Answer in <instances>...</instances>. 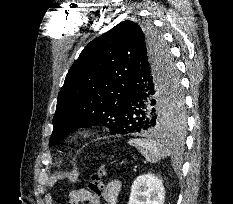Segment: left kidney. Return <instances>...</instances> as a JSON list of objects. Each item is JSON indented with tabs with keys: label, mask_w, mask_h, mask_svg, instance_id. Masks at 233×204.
I'll list each match as a JSON object with an SVG mask.
<instances>
[{
	"label": "left kidney",
	"mask_w": 233,
	"mask_h": 204,
	"mask_svg": "<svg viewBox=\"0 0 233 204\" xmlns=\"http://www.w3.org/2000/svg\"><path fill=\"white\" fill-rule=\"evenodd\" d=\"M164 200L165 188L162 179L149 173L134 180L128 204H163Z\"/></svg>",
	"instance_id": "obj_1"
}]
</instances>
